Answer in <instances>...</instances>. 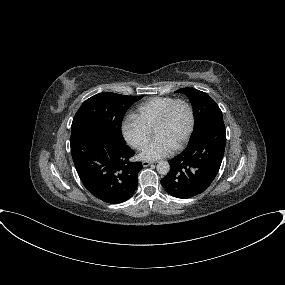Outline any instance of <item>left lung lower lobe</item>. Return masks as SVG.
<instances>
[{
	"label": "left lung lower lobe",
	"mask_w": 285,
	"mask_h": 285,
	"mask_svg": "<svg viewBox=\"0 0 285 285\" xmlns=\"http://www.w3.org/2000/svg\"><path fill=\"white\" fill-rule=\"evenodd\" d=\"M226 130L223 118L208 122L186 149L169 160L171 170L161 180L176 198L187 199L204 192L217 175L224 155Z\"/></svg>",
	"instance_id": "obj_1"
}]
</instances>
